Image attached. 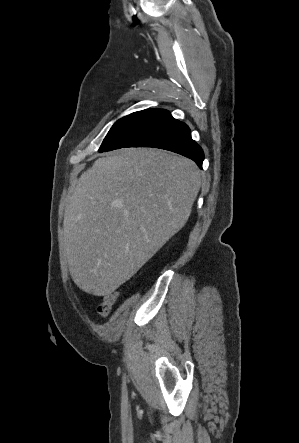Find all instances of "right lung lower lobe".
Returning <instances> with one entry per match:
<instances>
[{
	"label": "right lung lower lobe",
	"instance_id": "right-lung-lower-lobe-1",
	"mask_svg": "<svg viewBox=\"0 0 299 443\" xmlns=\"http://www.w3.org/2000/svg\"><path fill=\"white\" fill-rule=\"evenodd\" d=\"M125 147L161 148L186 156L202 167L204 153L191 138L189 127L164 109H147L108 148L110 151Z\"/></svg>",
	"mask_w": 299,
	"mask_h": 443
}]
</instances>
